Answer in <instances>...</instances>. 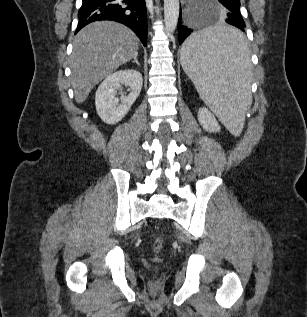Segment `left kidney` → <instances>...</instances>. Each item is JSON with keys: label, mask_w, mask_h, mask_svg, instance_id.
Instances as JSON below:
<instances>
[{"label": "left kidney", "mask_w": 307, "mask_h": 317, "mask_svg": "<svg viewBox=\"0 0 307 317\" xmlns=\"http://www.w3.org/2000/svg\"><path fill=\"white\" fill-rule=\"evenodd\" d=\"M198 121L208 132H219L220 125L214 115L206 108H200L198 111Z\"/></svg>", "instance_id": "5707ae66"}]
</instances>
